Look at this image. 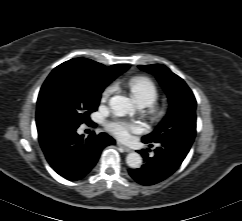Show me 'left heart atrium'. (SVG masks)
<instances>
[{
    "mask_svg": "<svg viewBox=\"0 0 242 221\" xmlns=\"http://www.w3.org/2000/svg\"><path fill=\"white\" fill-rule=\"evenodd\" d=\"M108 129L119 139L127 140L130 133L138 132L139 127L135 123L116 118L108 123Z\"/></svg>",
    "mask_w": 242,
    "mask_h": 221,
    "instance_id": "1",
    "label": "left heart atrium"
}]
</instances>
